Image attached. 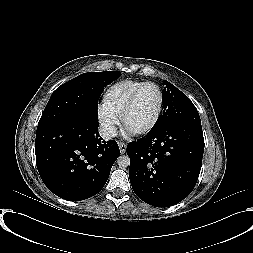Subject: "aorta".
I'll return each mask as SVG.
<instances>
[{"label":"aorta","instance_id":"762f6f07","mask_svg":"<svg viewBox=\"0 0 253 253\" xmlns=\"http://www.w3.org/2000/svg\"><path fill=\"white\" fill-rule=\"evenodd\" d=\"M117 163L120 168H126L130 165V158L128 155H121L117 158Z\"/></svg>","mask_w":253,"mask_h":253}]
</instances>
